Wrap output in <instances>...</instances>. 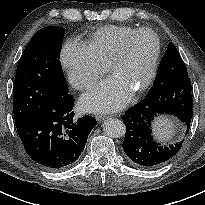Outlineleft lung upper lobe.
Masks as SVG:
<instances>
[{
	"label": "left lung upper lobe",
	"instance_id": "1",
	"mask_svg": "<svg viewBox=\"0 0 205 205\" xmlns=\"http://www.w3.org/2000/svg\"><path fill=\"white\" fill-rule=\"evenodd\" d=\"M182 76H188L185 63L183 62L175 45L170 43L161 60L153 86Z\"/></svg>",
	"mask_w": 205,
	"mask_h": 205
}]
</instances>
